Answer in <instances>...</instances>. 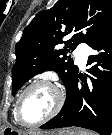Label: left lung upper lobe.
Listing matches in <instances>:
<instances>
[{
  "mask_svg": "<svg viewBox=\"0 0 112 135\" xmlns=\"http://www.w3.org/2000/svg\"><path fill=\"white\" fill-rule=\"evenodd\" d=\"M111 22V0H58L52 8L39 12L15 47L13 95L29 79L48 70L58 72L67 88L78 72L67 55L81 42L90 46ZM66 35L70 39L63 42ZM62 43L65 47L60 49Z\"/></svg>",
  "mask_w": 112,
  "mask_h": 135,
  "instance_id": "1",
  "label": "left lung upper lobe"
}]
</instances>
